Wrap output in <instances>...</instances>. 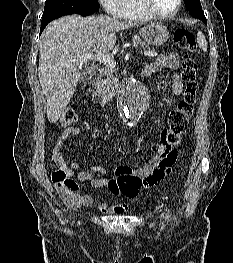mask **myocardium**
<instances>
[{"label": "myocardium", "instance_id": "myocardium-1", "mask_svg": "<svg viewBox=\"0 0 233 263\" xmlns=\"http://www.w3.org/2000/svg\"><path fill=\"white\" fill-rule=\"evenodd\" d=\"M143 7L155 18L159 19H168L174 17L180 10L181 5H182V0H177V5L176 8L173 12L164 14L159 12L158 10L155 9V7L152 4L151 0H141Z\"/></svg>", "mask_w": 233, "mask_h": 263}]
</instances>
